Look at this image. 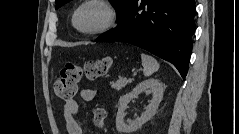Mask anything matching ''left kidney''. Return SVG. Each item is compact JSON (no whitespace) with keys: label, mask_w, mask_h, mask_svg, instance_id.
I'll return each mask as SVG.
<instances>
[{"label":"left kidney","mask_w":239,"mask_h":134,"mask_svg":"<svg viewBox=\"0 0 239 134\" xmlns=\"http://www.w3.org/2000/svg\"><path fill=\"white\" fill-rule=\"evenodd\" d=\"M165 87L161 82L156 79H148L139 83L130 93L125 94L119 100V108L116 115V128L121 134H130L142 127L147 121H149L156 113L158 106L163 98ZM145 92L146 94H152V100L145 108V112L140 117L134 120H125V110L127 105L133 98H136L139 94Z\"/></svg>","instance_id":"left-kidney-1"}]
</instances>
